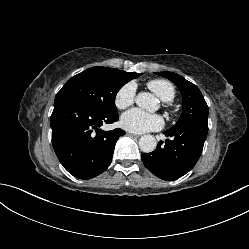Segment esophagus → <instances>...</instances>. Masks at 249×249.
Wrapping results in <instances>:
<instances>
[{
  "instance_id": "34e87169",
  "label": "esophagus",
  "mask_w": 249,
  "mask_h": 249,
  "mask_svg": "<svg viewBox=\"0 0 249 249\" xmlns=\"http://www.w3.org/2000/svg\"><path fill=\"white\" fill-rule=\"evenodd\" d=\"M127 135L131 136V137H140V135L138 134H134V133H131V132H128Z\"/></svg>"
}]
</instances>
